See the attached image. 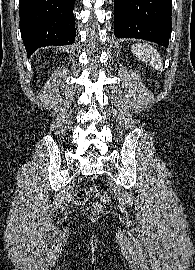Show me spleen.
Instances as JSON below:
<instances>
[{"mask_svg": "<svg viewBox=\"0 0 195 270\" xmlns=\"http://www.w3.org/2000/svg\"><path fill=\"white\" fill-rule=\"evenodd\" d=\"M131 51L138 59L147 63L158 71H163V61L156 49L147 43L132 45Z\"/></svg>", "mask_w": 195, "mask_h": 270, "instance_id": "obj_1", "label": "spleen"}]
</instances>
